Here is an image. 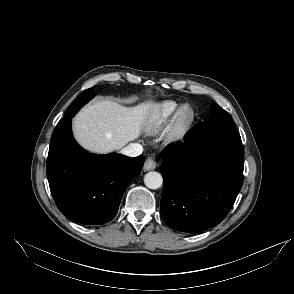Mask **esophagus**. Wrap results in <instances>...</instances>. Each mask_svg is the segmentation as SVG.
<instances>
[{"instance_id":"obj_1","label":"esophagus","mask_w":294,"mask_h":294,"mask_svg":"<svg viewBox=\"0 0 294 294\" xmlns=\"http://www.w3.org/2000/svg\"><path fill=\"white\" fill-rule=\"evenodd\" d=\"M156 162L154 159L148 157L144 163L143 169L144 171L154 170L156 168Z\"/></svg>"}]
</instances>
